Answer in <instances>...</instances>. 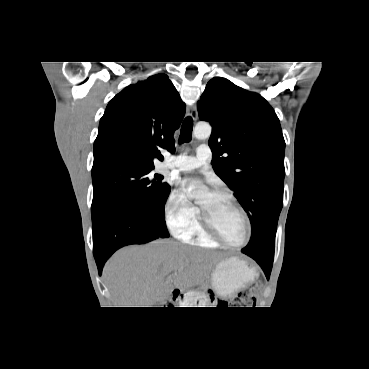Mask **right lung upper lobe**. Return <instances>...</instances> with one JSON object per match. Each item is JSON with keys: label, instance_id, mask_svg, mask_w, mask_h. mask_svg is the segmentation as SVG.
<instances>
[{"label": "right lung upper lobe", "instance_id": "obj_1", "mask_svg": "<svg viewBox=\"0 0 369 369\" xmlns=\"http://www.w3.org/2000/svg\"><path fill=\"white\" fill-rule=\"evenodd\" d=\"M185 104L165 74L129 85L108 104L94 142L93 165L132 163L154 167L159 148L174 152L173 134Z\"/></svg>", "mask_w": 369, "mask_h": 369}]
</instances>
